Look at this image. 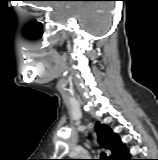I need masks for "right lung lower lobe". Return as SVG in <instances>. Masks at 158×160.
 <instances>
[{
    "mask_svg": "<svg viewBox=\"0 0 158 160\" xmlns=\"http://www.w3.org/2000/svg\"><path fill=\"white\" fill-rule=\"evenodd\" d=\"M117 160H133V159H130V156L126 151H124L118 158H116Z\"/></svg>",
    "mask_w": 158,
    "mask_h": 160,
    "instance_id": "98d812e1",
    "label": "right lung lower lobe"
}]
</instances>
